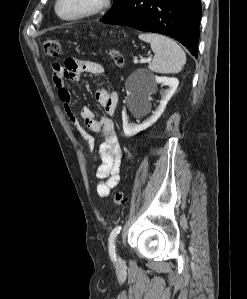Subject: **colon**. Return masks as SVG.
<instances>
[{"instance_id":"obj_1","label":"colon","mask_w":247,"mask_h":299,"mask_svg":"<svg viewBox=\"0 0 247 299\" xmlns=\"http://www.w3.org/2000/svg\"><path fill=\"white\" fill-rule=\"evenodd\" d=\"M44 51L47 56L57 57L60 53V44L55 39H48L44 42ZM107 54L113 60L117 67H122L124 64V58L122 54L117 50H108ZM128 201L127 196L123 191H117L113 195V202L115 205H124Z\"/></svg>"}]
</instances>
